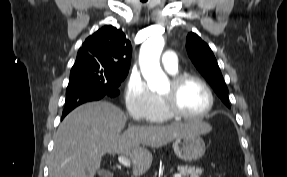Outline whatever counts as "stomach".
Wrapping results in <instances>:
<instances>
[{
  "mask_svg": "<svg viewBox=\"0 0 287 177\" xmlns=\"http://www.w3.org/2000/svg\"><path fill=\"white\" fill-rule=\"evenodd\" d=\"M173 149L181 160L193 162L204 155L206 146L200 133L191 132L176 138Z\"/></svg>",
  "mask_w": 287,
  "mask_h": 177,
  "instance_id": "1",
  "label": "stomach"
}]
</instances>
